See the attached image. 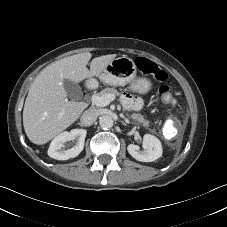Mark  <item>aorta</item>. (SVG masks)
I'll list each match as a JSON object with an SVG mask.
<instances>
[{
    "label": "aorta",
    "mask_w": 227,
    "mask_h": 227,
    "mask_svg": "<svg viewBox=\"0 0 227 227\" xmlns=\"http://www.w3.org/2000/svg\"><path fill=\"white\" fill-rule=\"evenodd\" d=\"M113 123L112 117L108 115L101 116L99 119L100 127L105 130L112 128Z\"/></svg>",
    "instance_id": "obj_1"
}]
</instances>
